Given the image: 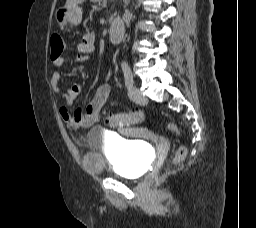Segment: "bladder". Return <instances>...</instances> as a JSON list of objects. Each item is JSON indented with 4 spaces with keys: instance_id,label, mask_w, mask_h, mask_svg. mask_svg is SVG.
<instances>
[{
    "instance_id": "31cf9c89",
    "label": "bladder",
    "mask_w": 256,
    "mask_h": 228,
    "mask_svg": "<svg viewBox=\"0 0 256 228\" xmlns=\"http://www.w3.org/2000/svg\"><path fill=\"white\" fill-rule=\"evenodd\" d=\"M101 144L106 148L105 153L99 151ZM87 146L84 163L96 173L109 172L135 179L147 169L148 152L137 141L113 138L94 128L88 133Z\"/></svg>"
}]
</instances>
